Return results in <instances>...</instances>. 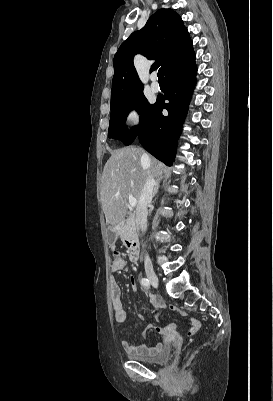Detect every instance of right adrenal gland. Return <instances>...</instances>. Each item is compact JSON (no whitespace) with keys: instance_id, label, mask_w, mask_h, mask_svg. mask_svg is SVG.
Wrapping results in <instances>:
<instances>
[{"instance_id":"1","label":"right adrenal gland","mask_w":273,"mask_h":401,"mask_svg":"<svg viewBox=\"0 0 273 401\" xmlns=\"http://www.w3.org/2000/svg\"><path fill=\"white\" fill-rule=\"evenodd\" d=\"M160 180L161 178H157L156 184H154L153 196H155L156 192H158V188L160 186Z\"/></svg>"}]
</instances>
